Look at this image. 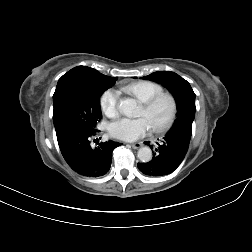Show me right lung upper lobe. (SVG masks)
I'll return each instance as SVG.
<instances>
[{
    "instance_id": "right-lung-upper-lobe-1",
    "label": "right lung upper lobe",
    "mask_w": 252,
    "mask_h": 252,
    "mask_svg": "<svg viewBox=\"0 0 252 252\" xmlns=\"http://www.w3.org/2000/svg\"><path fill=\"white\" fill-rule=\"evenodd\" d=\"M81 77H94V78H101L105 81L114 84L117 80V78H112L109 76H105L101 73H99L97 70L86 67V66H77L67 73H65L58 81V83H61L63 81L74 79V78H81Z\"/></svg>"
}]
</instances>
